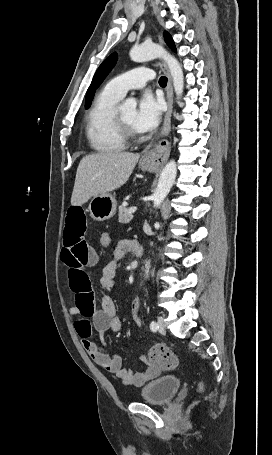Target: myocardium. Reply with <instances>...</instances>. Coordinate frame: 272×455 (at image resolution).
Wrapping results in <instances>:
<instances>
[{
	"label": "myocardium",
	"mask_w": 272,
	"mask_h": 455,
	"mask_svg": "<svg viewBox=\"0 0 272 455\" xmlns=\"http://www.w3.org/2000/svg\"><path fill=\"white\" fill-rule=\"evenodd\" d=\"M114 121L116 129L125 143H130L137 139L135 130L125 123L118 110L115 112Z\"/></svg>",
	"instance_id": "1"
}]
</instances>
